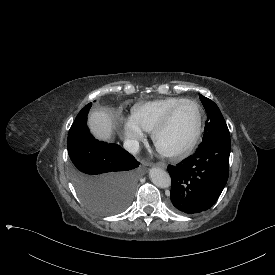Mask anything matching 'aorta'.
Masks as SVG:
<instances>
[{
  "mask_svg": "<svg viewBox=\"0 0 275 275\" xmlns=\"http://www.w3.org/2000/svg\"><path fill=\"white\" fill-rule=\"evenodd\" d=\"M149 176L152 183L159 188H168L171 185L169 174L162 168L155 167L150 169Z\"/></svg>",
  "mask_w": 275,
  "mask_h": 275,
  "instance_id": "1",
  "label": "aorta"
}]
</instances>
